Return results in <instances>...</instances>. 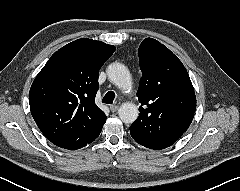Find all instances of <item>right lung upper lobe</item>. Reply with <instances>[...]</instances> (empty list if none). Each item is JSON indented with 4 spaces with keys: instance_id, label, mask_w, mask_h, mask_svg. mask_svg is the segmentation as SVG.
Here are the masks:
<instances>
[{
    "instance_id": "obj_1",
    "label": "right lung upper lobe",
    "mask_w": 240,
    "mask_h": 191,
    "mask_svg": "<svg viewBox=\"0 0 240 191\" xmlns=\"http://www.w3.org/2000/svg\"><path fill=\"white\" fill-rule=\"evenodd\" d=\"M113 45L88 38L56 51L36 76L29 92L31 114L52 143L93 134L106 121L95 104L99 69Z\"/></svg>"
}]
</instances>
